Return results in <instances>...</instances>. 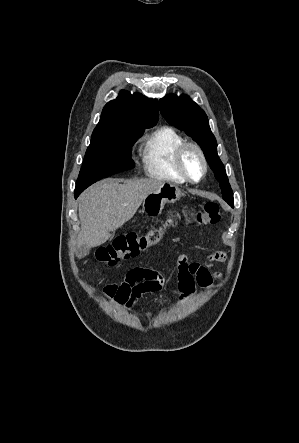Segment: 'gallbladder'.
Here are the masks:
<instances>
[{"instance_id":"bac80fb5","label":"gallbladder","mask_w":299,"mask_h":443,"mask_svg":"<svg viewBox=\"0 0 299 443\" xmlns=\"http://www.w3.org/2000/svg\"><path fill=\"white\" fill-rule=\"evenodd\" d=\"M90 248L85 245H80L77 247L76 255L81 258L89 254Z\"/></svg>"}]
</instances>
